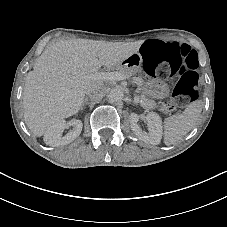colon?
I'll use <instances>...</instances> for the list:
<instances>
[{
    "label": "colon",
    "mask_w": 227,
    "mask_h": 227,
    "mask_svg": "<svg viewBox=\"0 0 227 227\" xmlns=\"http://www.w3.org/2000/svg\"><path fill=\"white\" fill-rule=\"evenodd\" d=\"M143 66L148 74L161 79H177L172 100L163 104L167 113L185 106L200 96L198 85V56L185 44L146 41L140 51Z\"/></svg>",
    "instance_id": "colon-1"
}]
</instances>
